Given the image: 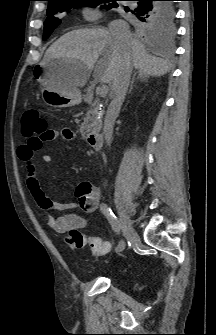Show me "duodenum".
Segmentation results:
<instances>
[{
  "mask_svg": "<svg viewBox=\"0 0 216 335\" xmlns=\"http://www.w3.org/2000/svg\"><path fill=\"white\" fill-rule=\"evenodd\" d=\"M87 142L91 148L99 150L102 147V137L97 130H92L87 135Z\"/></svg>",
  "mask_w": 216,
  "mask_h": 335,
  "instance_id": "410a0bca",
  "label": "duodenum"
}]
</instances>
